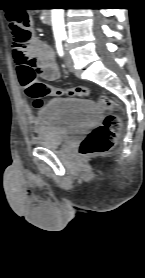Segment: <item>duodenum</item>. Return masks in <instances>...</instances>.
<instances>
[{
    "label": "duodenum",
    "mask_w": 145,
    "mask_h": 278,
    "mask_svg": "<svg viewBox=\"0 0 145 278\" xmlns=\"http://www.w3.org/2000/svg\"><path fill=\"white\" fill-rule=\"evenodd\" d=\"M44 21L45 23L47 24H50L51 23V12L50 10H48L45 15H44Z\"/></svg>",
    "instance_id": "1"
}]
</instances>
